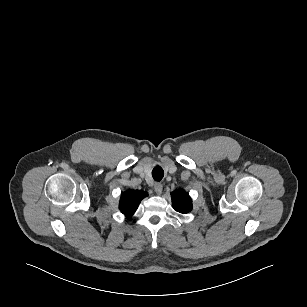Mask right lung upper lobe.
I'll return each mask as SVG.
<instances>
[{
  "mask_svg": "<svg viewBox=\"0 0 307 307\" xmlns=\"http://www.w3.org/2000/svg\"><path fill=\"white\" fill-rule=\"evenodd\" d=\"M147 195V192L140 190H127L123 192L119 204L120 211L126 217H131L137 210L141 200Z\"/></svg>",
  "mask_w": 307,
  "mask_h": 307,
  "instance_id": "right-lung-upper-lobe-1",
  "label": "right lung upper lobe"
}]
</instances>
